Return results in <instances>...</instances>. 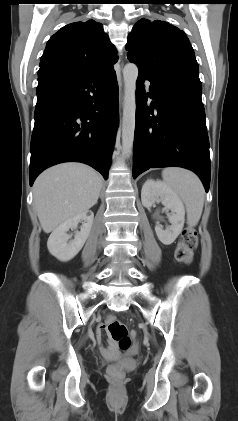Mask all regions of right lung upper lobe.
I'll return each instance as SVG.
<instances>
[{
    "mask_svg": "<svg viewBox=\"0 0 238 421\" xmlns=\"http://www.w3.org/2000/svg\"><path fill=\"white\" fill-rule=\"evenodd\" d=\"M116 50L103 26L94 20L70 23L47 42L38 75L91 74L113 69Z\"/></svg>",
    "mask_w": 238,
    "mask_h": 421,
    "instance_id": "cb5924a9",
    "label": "right lung upper lobe"
}]
</instances>
